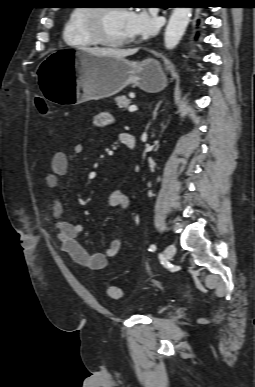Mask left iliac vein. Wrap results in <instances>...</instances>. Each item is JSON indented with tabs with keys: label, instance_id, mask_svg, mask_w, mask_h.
Returning <instances> with one entry per match:
<instances>
[{
	"label": "left iliac vein",
	"instance_id": "obj_1",
	"mask_svg": "<svg viewBox=\"0 0 255 387\" xmlns=\"http://www.w3.org/2000/svg\"><path fill=\"white\" fill-rule=\"evenodd\" d=\"M175 252H176V247H175V245L170 244V245H168V246L165 248L164 253H163V256H164V258H165L166 260H170V259H172V257L174 256Z\"/></svg>",
	"mask_w": 255,
	"mask_h": 387
}]
</instances>
